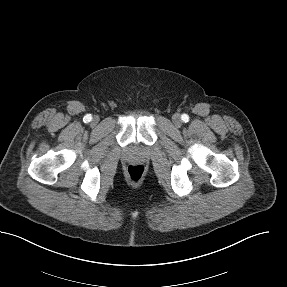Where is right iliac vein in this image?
<instances>
[{
    "mask_svg": "<svg viewBox=\"0 0 287 287\" xmlns=\"http://www.w3.org/2000/svg\"><path fill=\"white\" fill-rule=\"evenodd\" d=\"M99 122V117L98 116H95L94 118H93V124L94 125H96L97 123Z\"/></svg>",
    "mask_w": 287,
    "mask_h": 287,
    "instance_id": "right-iliac-vein-1",
    "label": "right iliac vein"
}]
</instances>
